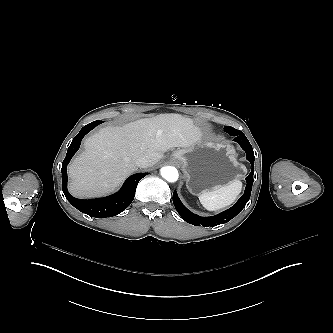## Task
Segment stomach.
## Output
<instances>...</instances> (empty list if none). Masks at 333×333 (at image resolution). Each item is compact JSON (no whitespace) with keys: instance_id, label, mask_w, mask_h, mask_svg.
<instances>
[{"instance_id":"obj_1","label":"stomach","mask_w":333,"mask_h":333,"mask_svg":"<svg viewBox=\"0 0 333 333\" xmlns=\"http://www.w3.org/2000/svg\"><path fill=\"white\" fill-rule=\"evenodd\" d=\"M171 159L181 168L188 191L196 196L243 177L245 166L237 161L230 144L200 141L173 151Z\"/></svg>"}]
</instances>
